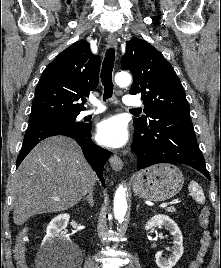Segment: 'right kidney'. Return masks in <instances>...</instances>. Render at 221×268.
Instances as JSON below:
<instances>
[{"instance_id": "obj_1", "label": "right kidney", "mask_w": 221, "mask_h": 268, "mask_svg": "<svg viewBox=\"0 0 221 268\" xmlns=\"http://www.w3.org/2000/svg\"><path fill=\"white\" fill-rule=\"evenodd\" d=\"M70 216L68 214H60L53 218L47 225L46 235L42 241V245L50 246L56 241H63L69 243L71 240L68 235L65 234Z\"/></svg>"}]
</instances>
